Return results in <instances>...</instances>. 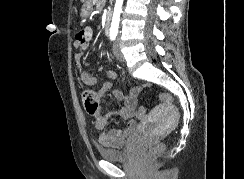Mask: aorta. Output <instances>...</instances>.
<instances>
[{"label": "aorta", "mask_w": 244, "mask_h": 179, "mask_svg": "<svg viewBox=\"0 0 244 179\" xmlns=\"http://www.w3.org/2000/svg\"><path fill=\"white\" fill-rule=\"evenodd\" d=\"M122 4H123V0H116L114 12H113V18H112V22H111L110 32H114V30H115V32H117V30L119 28Z\"/></svg>", "instance_id": "762f6f07"}]
</instances>
